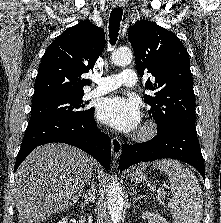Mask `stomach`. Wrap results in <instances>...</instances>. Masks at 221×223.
<instances>
[{"label":"stomach","mask_w":221,"mask_h":223,"mask_svg":"<svg viewBox=\"0 0 221 223\" xmlns=\"http://www.w3.org/2000/svg\"><path fill=\"white\" fill-rule=\"evenodd\" d=\"M147 177V174L145 173L144 168H136L132 171L130 174V179L132 182H140L145 180Z\"/></svg>","instance_id":"stomach-1"}]
</instances>
